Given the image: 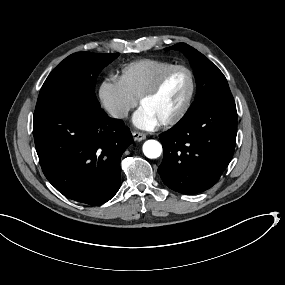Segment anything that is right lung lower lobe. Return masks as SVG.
Instances as JSON below:
<instances>
[{
    "instance_id": "right-lung-lower-lobe-1",
    "label": "right lung lower lobe",
    "mask_w": 285,
    "mask_h": 285,
    "mask_svg": "<svg viewBox=\"0 0 285 285\" xmlns=\"http://www.w3.org/2000/svg\"><path fill=\"white\" fill-rule=\"evenodd\" d=\"M33 135L44 175L65 197L98 206L119 190L121 155L134 142L123 121L61 103L34 114Z\"/></svg>"
}]
</instances>
